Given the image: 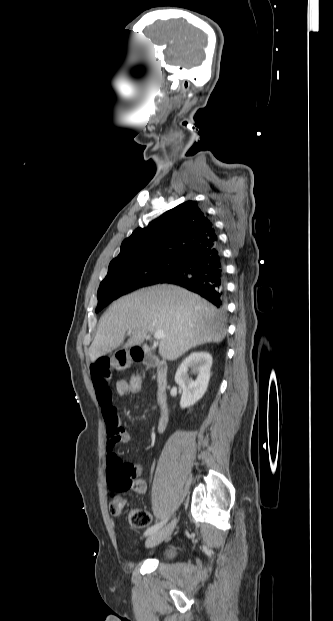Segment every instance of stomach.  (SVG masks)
I'll return each instance as SVG.
<instances>
[{
  "instance_id": "1",
  "label": "stomach",
  "mask_w": 333,
  "mask_h": 621,
  "mask_svg": "<svg viewBox=\"0 0 333 621\" xmlns=\"http://www.w3.org/2000/svg\"><path fill=\"white\" fill-rule=\"evenodd\" d=\"M115 358L118 361L125 360L126 363L129 361V355L128 354L126 355L125 351H123V350L116 351Z\"/></svg>"
}]
</instances>
